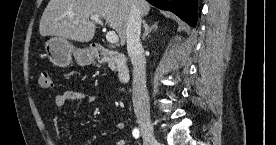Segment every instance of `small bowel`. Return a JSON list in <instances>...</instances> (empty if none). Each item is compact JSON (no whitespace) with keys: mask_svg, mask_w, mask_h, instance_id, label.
Returning a JSON list of instances; mask_svg holds the SVG:
<instances>
[{"mask_svg":"<svg viewBox=\"0 0 276 145\" xmlns=\"http://www.w3.org/2000/svg\"><path fill=\"white\" fill-rule=\"evenodd\" d=\"M72 101H80L85 104H93L99 101V97L79 90H66L56 95L54 104L56 109L60 110L64 108L68 102ZM52 123L57 138L61 139L62 134L57 115L53 117ZM115 126L117 130H123L125 128V124L123 121H117ZM116 145H126V142L124 140H119Z\"/></svg>","mask_w":276,"mask_h":145,"instance_id":"c3829d8e","label":"small bowel"}]
</instances>
